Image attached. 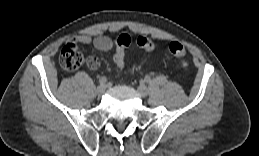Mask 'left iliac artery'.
Returning a JSON list of instances; mask_svg holds the SVG:
<instances>
[{"label": "left iliac artery", "instance_id": "left-iliac-artery-1", "mask_svg": "<svg viewBox=\"0 0 259 156\" xmlns=\"http://www.w3.org/2000/svg\"><path fill=\"white\" fill-rule=\"evenodd\" d=\"M145 81H146V82H149V81H150V77H149V76H146V77H145Z\"/></svg>", "mask_w": 259, "mask_h": 156}]
</instances>
